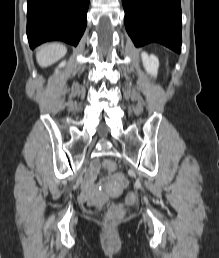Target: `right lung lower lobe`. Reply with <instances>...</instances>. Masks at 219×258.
Returning a JSON list of instances; mask_svg holds the SVG:
<instances>
[{"mask_svg":"<svg viewBox=\"0 0 219 258\" xmlns=\"http://www.w3.org/2000/svg\"><path fill=\"white\" fill-rule=\"evenodd\" d=\"M89 0H27V37L30 47L47 41L76 46L87 24Z\"/></svg>","mask_w":219,"mask_h":258,"instance_id":"1","label":"right lung lower lobe"}]
</instances>
